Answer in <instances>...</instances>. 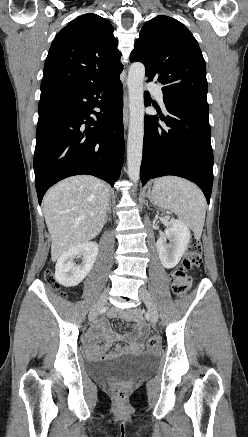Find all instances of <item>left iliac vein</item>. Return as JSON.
Returning <instances> with one entry per match:
<instances>
[{
	"mask_svg": "<svg viewBox=\"0 0 248 437\" xmlns=\"http://www.w3.org/2000/svg\"><path fill=\"white\" fill-rule=\"evenodd\" d=\"M139 296L148 309V313H149L151 322L157 323L158 311H157L156 304H155L151 294L149 293V291L145 287H141L139 289Z\"/></svg>",
	"mask_w": 248,
	"mask_h": 437,
	"instance_id": "left-iliac-vein-1",
	"label": "left iliac vein"
}]
</instances>
